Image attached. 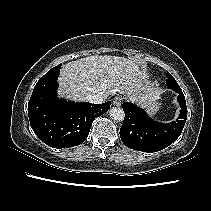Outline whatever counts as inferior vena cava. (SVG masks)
<instances>
[{"label":"inferior vena cava","instance_id":"1","mask_svg":"<svg viewBox=\"0 0 211 211\" xmlns=\"http://www.w3.org/2000/svg\"><path fill=\"white\" fill-rule=\"evenodd\" d=\"M86 101L94 104H100L103 102V96L100 94H92L86 97Z\"/></svg>","mask_w":211,"mask_h":211}]
</instances>
